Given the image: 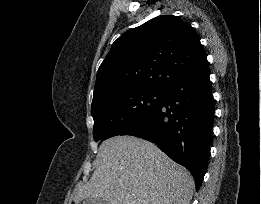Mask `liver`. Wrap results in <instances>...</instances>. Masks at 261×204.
I'll use <instances>...</instances> for the list:
<instances>
[{"label": "liver", "instance_id": "1", "mask_svg": "<svg viewBox=\"0 0 261 204\" xmlns=\"http://www.w3.org/2000/svg\"><path fill=\"white\" fill-rule=\"evenodd\" d=\"M98 165L87 183H79L75 203L83 199L108 204H190L194 179L153 143L117 136L99 148Z\"/></svg>", "mask_w": 261, "mask_h": 204}]
</instances>
